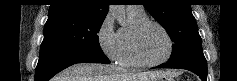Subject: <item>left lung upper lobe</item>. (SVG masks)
<instances>
[{"mask_svg":"<svg viewBox=\"0 0 237 81\" xmlns=\"http://www.w3.org/2000/svg\"><path fill=\"white\" fill-rule=\"evenodd\" d=\"M144 7L174 42L167 66L206 62L201 37L188 0H144Z\"/></svg>","mask_w":237,"mask_h":81,"instance_id":"obj_1","label":"left lung upper lobe"}]
</instances>
